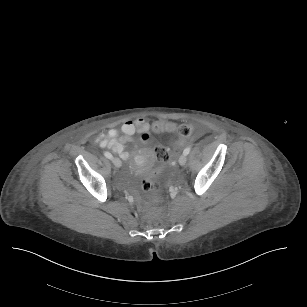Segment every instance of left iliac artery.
Listing matches in <instances>:
<instances>
[{"label": "left iliac artery", "mask_w": 307, "mask_h": 307, "mask_svg": "<svg viewBox=\"0 0 307 307\" xmlns=\"http://www.w3.org/2000/svg\"><path fill=\"white\" fill-rule=\"evenodd\" d=\"M190 150H191L190 147L185 148L184 151H183V154L188 155Z\"/></svg>", "instance_id": "obj_1"}]
</instances>
